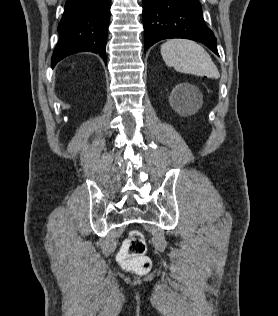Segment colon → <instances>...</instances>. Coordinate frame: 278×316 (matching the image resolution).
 <instances>
[{
	"instance_id": "1",
	"label": "colon",
	"mask_w": 278,
	"mask_h": 316,
	"mask_svg": "<svg viewBox=\"0 0 278 316\" xmlns=\"http://www.w3.org/2000/svg\"><path fill=\"white\" fill-rule=\"evenodd\" d=\"M147 244L143 233L131 230L123 242L118 254L119 262L127 269L135 272H147L151 269V261L145 255Z\"/></svg>"
}]
</instances>
